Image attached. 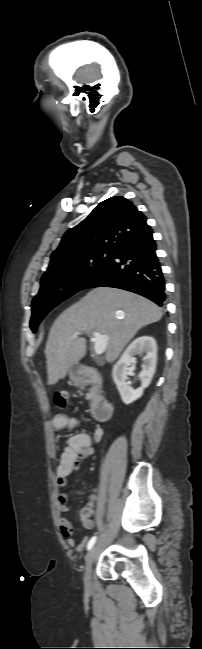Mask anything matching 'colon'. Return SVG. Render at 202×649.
Here are the masks:
<instances>
[{
    "label": "colon",
    "mask_w": 202,
    "mask_h": 649,
    "mask_svg": "<svg viewBox=\"0 0 202 649\" xmlns=\"http://www.w3.org/2000/svg\"><path fill=\"white\" fill-rule=\"evenodd\" d=\"M68 394L66 391H58L54 394V402L56 406L64 408L67 405Z\"/></svg>",
    "instance_id": "colon-1"
}]
</instances>
